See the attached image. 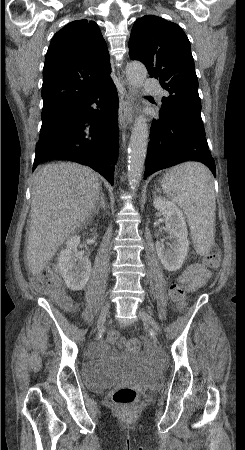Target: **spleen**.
<instances>
[{
	"label": "spleen",
	"mask_w": 245,
	"mask_h": 450,
	"mask_svg": "<svg viewBox=\"0 0 245 450\" xmlns=\"http://www.w3.org/2000/svg\"><path fill=\"white\" fill-rule=\"evenodd\" d=\"M162 189L187 217L195 250L207 254L215 235L216 199L213 177L201 163L188 162L164 175Z\"/></svg>",
	"instance_id": "spleen-1"
}]
</instances>
